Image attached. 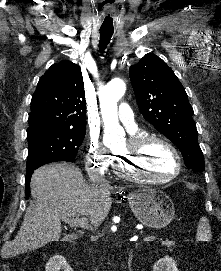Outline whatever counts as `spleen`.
Returning a JSON list of instances; mask_svg holds the SVG:
<instances>
[{"mask_svg":"<svg viewBox=\"0 0 221 271\" xmlns=\"http://www.w3.org/2000/svg\"><path fill=\"white\" fill-rule=\"evenodd\" d=\"M210 223L207 217H201L197 227V241H210Z\"/></svg>","mask_w":221,"mask_h":271,"instance_id":"1","label":"spleen"}]
</instances>
